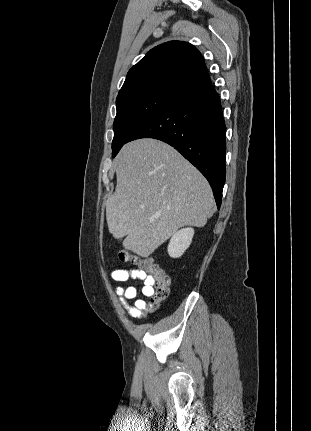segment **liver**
Returning <instances> with one entry per match:
<instances>
[{"instance_id": "obj_1", "label": "liver", "mask_w": 311, "mask_h": 431, "mask_svg": "<svg viewBox=\"0 0 311 431\" xmlns=\"http://www.w3.org/2000/svg\"><path fill=\"white\" fill-rule=\"evenodd\" d=\"M117 186L106 202V219L123 247L148 257L184 225L203 227L214 208L204 176L159 140H135L118 154Z\"/></svg>"}]
</instances>
